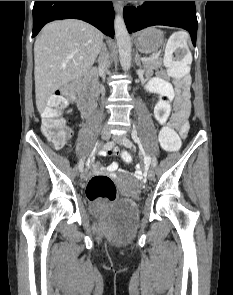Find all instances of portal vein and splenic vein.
<instances>
[{
    "mask_svg": "<svg viewBox=\"0 0 233 295\" xmlns=\"http://www.w3.org/2000/svg\"><path fill=\"white\" fill-rule=\"evenodd\" d=\"M154 59H156V57H148V58H143L142 61L146 62V61H151V60H154Z\"/></svg>",
    "mask_w": 233,
    "mask_h": 295,
    "instance_id": "1",
    "label": "portal vein and splenic vein"
}]
</instances>
